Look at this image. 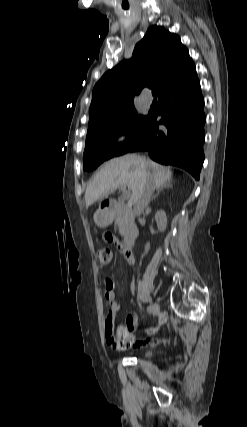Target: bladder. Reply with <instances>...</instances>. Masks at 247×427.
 <instances>
[{
    "instance_id": "bladder-1",
    "label": "bladder",
    "mask_w": 247,
    "mask_h": 427,
    "mask_svg": "<svg viewBox=\"0 0 247 427\" xmlns=\"http://www.w3.org/2000/svg\"><path fill=\"white\" fill-rule=\"evenodd\" d=\"M150 354H151V350L150 349H145L142 352V355L145 356V357L149 356Z\"/></svg>"
}]
</instances>
